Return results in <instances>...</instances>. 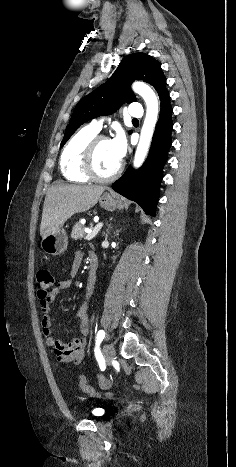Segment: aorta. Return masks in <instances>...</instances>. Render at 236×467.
<instances>
[{"label": "aorta", "mask_w": 236, "mask_h": 467, "mask_svg": "<svg viewBox=\"0 0 236 467\" xmlns=\"http://www.w3.org/2000/svg\"><path fill=\"white\" fill-rule=\"evenodd\" d=\"M133 91L139 94L146 103V116L140 133L133 165L139 168L148 154L155 126L158 120L159 103L154 91L145 83L137 81L132 85Z\"/></svg>", "instance_id": "1"}]
</instances>
